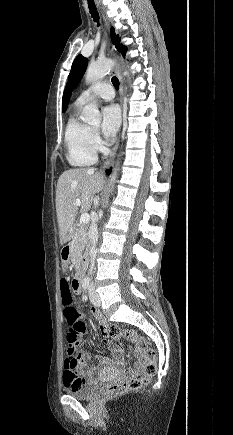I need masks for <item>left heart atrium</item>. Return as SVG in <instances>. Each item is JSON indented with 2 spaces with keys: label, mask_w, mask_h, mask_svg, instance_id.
<instances>
[{
  "label": "left heart atrium",
  "mask_w": 233,
  "mask_h": 435,
  "mask_svg": "<svg viewBox=\"0 0 233 435\" xmlns=\"http://www.w3.org/2000/svg\"><path fill=\"white\" fill-rule=\"evenodd\" d=\"M120 125V111L116 105H108L102 110V133L103 136L112 139Z\"/></svg>",
  "instance_id": "obj_1"
}]
</instances>
